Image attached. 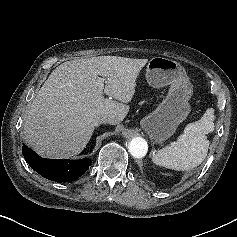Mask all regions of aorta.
<instances>
[{"instance_id":"aorta-1","label":"aorta","mask_w":237,"mask_h":237,"mask_svg":"<svg viewBox=\"0 0 237 237\" xmlns=\"http://www.w3.org/2000/svg\"><path fill=\"white\" fill-rule=\"evenodd\" d=\"M128 149L133 157L142 158L147 153L148 144L145 139L136 137L130 140L128 143Z\"/></svg>"}]
</instances>
